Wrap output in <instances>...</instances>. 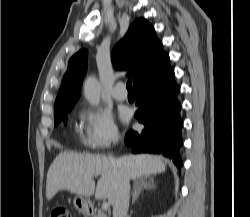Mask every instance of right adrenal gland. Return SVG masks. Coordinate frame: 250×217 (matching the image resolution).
<instances>
[{
    "label": "right adrenal gland",
    "instance_id": "2a0ac1e0",
    "mask_svg": "<svg viewBox=\"0 0 250 217\" xmlns=\"http://www.w3.org/2000/svg\"><path fill=\"white\" fill-rule=\"evenodd\" d=\"M154 181L151 178L142 177L134 181L133 193H132V204L138 199L143 189H154Z\"/></svg>",
    "mask_w": 250,
    "mask_h": 217
}]
</instances>
